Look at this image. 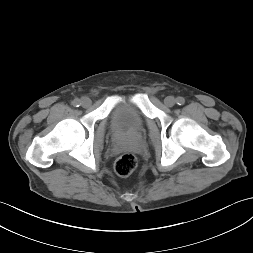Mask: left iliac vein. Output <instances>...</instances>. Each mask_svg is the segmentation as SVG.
<instances>
[{"instance_id": "1", "label": "left iliac vein", "mask_w": 253, "mask_h": 253, "mask_svg": "<svg viewBox=\"0 0 253 253\" xmlns=\"http://www.w3.org/2000/svg\"><path fill=\"white\" fill-rule=\"evenodd\" d=\"M164 103L168 107H173L175 105V103H176V99L173 96H167L164 99Z\"/></svg>"}]
</instances>
